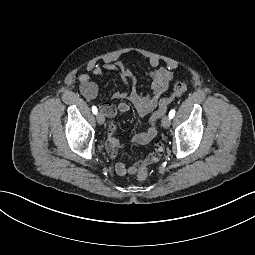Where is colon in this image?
Segmentation results:
<instances>
[{"label": "colon", "instance_id": "colon-1", "mask_svg": "<svg viewBox=\"0 0 255 255\" xmlns=\"http://www.w3.org/2000/svg\"><path fill=\"white\" fill-rule=\"evenodd\" d=\"M187 91V84L178 82L174 85L171 94L160 100L157 110L149 119V127L156 126L157 121L165 114L168 106L177 98ZM149 176L147 169H141L136 173V178L139 181H145Z\"/></svg>", "mask_w": 255, "mask_h": 255}]
</instances>
